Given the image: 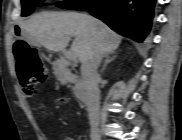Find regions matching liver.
I'll return each instance as SVG.
<instances>
[{
	"mask_svg": "<svg viewBox=\"0 0 182 140\" xmlns=\"http://www.w3.org/2000/svg\"><path fill=\"white\" fill-rule=\"evenodd\" d=\"M22 34L54 52L65 49L72 37L71 50L84 62L99 50L112 53L121 43V36L102 21L76 12H41L19 25Z\"/></svg>",
	"mask_w": 182,
	"mask_h": 140,
	"instance_id": "obj_1",
	"label": "liver"
}]
</instances>
